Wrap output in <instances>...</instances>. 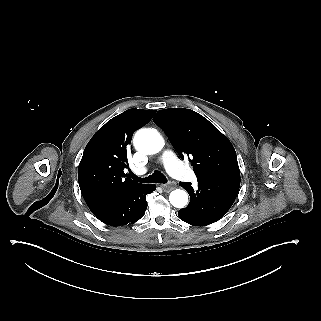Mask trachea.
Masks as SVG:
<instances>
[{"label": "trachea", "instance_id": "3493384b", "mask_svg": "<svg viewBox=\"0 0 321 321\" xmlns=\"http://www.w3.org/2000/svg\"><path fill=\"white\" fill-rule=\"evenodd\" d=\"M130 178H133L137 182L141 183H160L164 184L167 182V178L159 171H154L153 174L149 175L146 178H139L132 172L129 174Z\"/></svg>", "mask_w": 321, "mask_h": 321}]
</instances>
